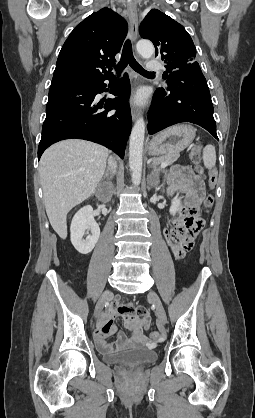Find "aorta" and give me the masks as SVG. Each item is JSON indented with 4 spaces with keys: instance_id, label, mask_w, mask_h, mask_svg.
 Listing matches in <instances>:
<instances>
[{
    "instance_id": "aorta-1",
    "label": "aorta",
    "mask_w": 255,
    "mask_h": 418,
    "mask_svg": "<svg viewBox=\"0 0 255 418\" xmlns=\"http://www.w3.org/2000/svg\"><path fill=\"white\" fill-rule=\"evenodd\" d=\"M136 48L138 53L144 58H149L154 53V46L148 40H140L137 43ZM145 128L146 125L143 118H139L135 122L130 135L129 167L131 170L132 183L135 186H138L141 182Z\"/></svg>"
}]
</instances>
